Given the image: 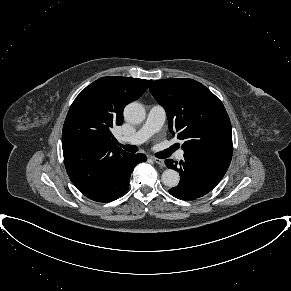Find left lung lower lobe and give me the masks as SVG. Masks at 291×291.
<instances>
[{
	"label": "left lung lower lobe",
	"instance_id": "left-lung-lower-lobe-1",
	"mask_svg": "<svg viewBox=\"0 0 291 291\" xmlns=\"http://www.w3.org/2000/svg\"><path fill=\"white\" fill-rule=\"evenodd\" d=\"M232 154L226 153H184V159L173 162L165 160L168 168L180 174L179 184L169 190L178 199L195 200L210 192L225 175Z\"/></svg>",
	"mask_w": 291,
	"mask_h": 291
}]
</instances>
